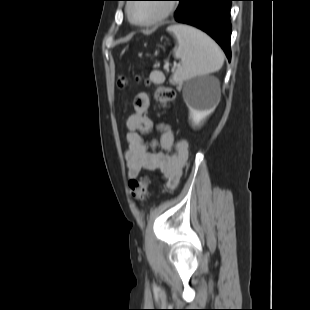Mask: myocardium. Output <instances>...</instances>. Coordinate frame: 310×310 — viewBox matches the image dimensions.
Wrapping results in <instances>:
<instances>
[{
  "instance_id": "1",
  "label": "myocardium",
  "mask_w": 310,
  "mask_h": 310,
  "mask_svg": "<svg viewBox=\"0 0 310 310\" xmlns=\"http://www.w3.org/2000/svg\"><path fill=\"white\" fill-rule=\"evenodd\" d=\"M133 6H134V4H129L126 8V13H127L129 21L132 24H134L136 26H140V27H150L153 25H157V24L161 23L162 21H164L165 19H167L175 11V7L170 2H166L164 4L163 11L157 17L150 19V20H147V21H137L132 16V7Z\"/></svg>"
}]
</instances>
